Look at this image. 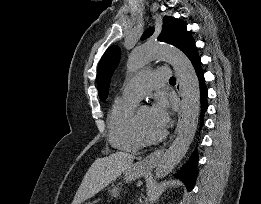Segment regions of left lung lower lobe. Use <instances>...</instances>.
I'll use <instances>...</instances> for the list:
<instances>
[{
	"mask_svg": "<svg viewBox=\"0 0 261 204\" xmlns=\"http://www.w3.org/2000/svg\"><path fill=\"white\" fill-rule=\"evenodd\" d=\"M185 55L189 58L192 65L194 66L200 84V95H201V126L203 125V114L207 110V88L205 86L204 75L201 69V60L197 54L195 41L192 39L186 47L183 49ZM197 151L195 150L190 160L180 169L176 174V177L180 178L186 185L188 191L192 190L196 175H197Z\"/></svg>",
	"mask_w": 261,
	"mask_h": 204,
	"instance_id": "0a47b994",
	"label": "left lung lower lobe"
}]
</instances>
